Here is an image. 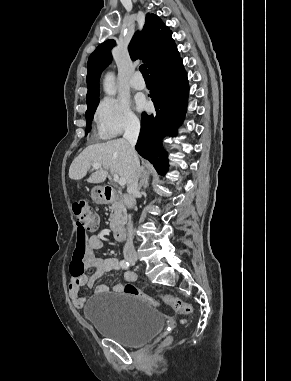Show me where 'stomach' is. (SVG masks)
<instances>
[{
    "mask_svg": "<svg viewBox=\"0 0 291 381\" xmlns=\"http://www.w3.org/2000/svg\"><path fill=\"white\" fill-rule=\"evenodd\" d=\"M91 197L92 200L97 204H103L105 202V198L100 187H95L92 189Z\"/></svg>",
    "mask_w": 291,
    "mask_h": 381,
    "instance_id": "1",
    "label": "stomach"
}]
</instances>
